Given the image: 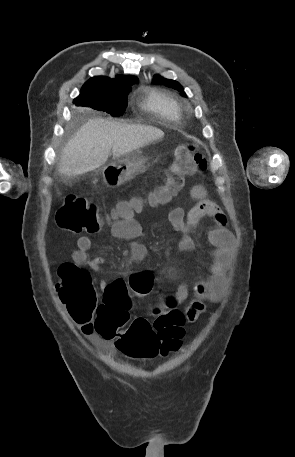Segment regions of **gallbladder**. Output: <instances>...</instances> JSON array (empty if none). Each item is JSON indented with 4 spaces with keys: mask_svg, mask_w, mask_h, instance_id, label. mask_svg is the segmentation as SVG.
Here are the masks:
<instances>
[{
    "mask_svg": "<svg viewBox=\"0 0 295 457\" xmlns=\"http://www.w3.org/2000/svg\"><path fill=\"white\" fill-rule=\"evenodd\" d=\"M63 179L67 180V178H66V177H63Z\"/></svg>",
    "mask_w": 295,
    "mask_h": 457,
    "instance_id": "bac80fb5",
    "label": "gallbladder"
}]
</instances>
